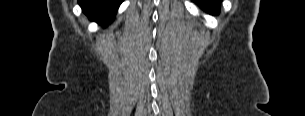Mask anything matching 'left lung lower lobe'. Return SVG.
Listing matches in <instances>:
<instances>
[{"label": "left lung lower lobe", "instance_id": "0a47b994", "mask_svg": "<svg viewBox=\"0 0 305 116\" xmlns=\"http://www.w3.org/2000/svg\"><path fill=\"white\" fill-rule=\"evenodd\" d=\"M205 12L217 15L221 0H193Z\"/></svg>", "mask_w": 305, "mask_h": 116}]
</instances>
